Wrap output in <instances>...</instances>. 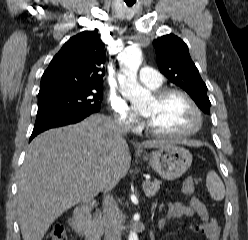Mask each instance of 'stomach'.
I'll return each mask as SVG.
<instances>
[{"mask_svg": "<svg viewBox=\"0 0 248 240\" xmlns=\"http://www.w3.org/2000/svg\"><path fill=\"white\" fill-rule=\"evenodd\" d=\"M149 163L162 178L174 180L182 176L191 166L192 155L184 147L169 144L152 152Z\"/></svg>", "mask_w": 248, "mask_h": 240, "instance_id": "0dacf381", "label": "stomach"}]
</instances>
